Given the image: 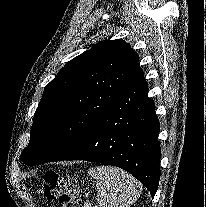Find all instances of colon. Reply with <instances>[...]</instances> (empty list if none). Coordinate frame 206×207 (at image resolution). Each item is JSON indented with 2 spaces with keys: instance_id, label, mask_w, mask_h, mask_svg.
<instances>
[{
  "instance_id": "5ec220e1",
  "label": "colon",
  "mask_w": 206,
  "mask_h": 207,
  "mask_svg": "<svg viewBox=\"0 0 206 207\" xmlns=\"http://www.w3.org/2000/svg\"><path fill=\"white\" fill-rule=\"evenodd\" d=\"M42 193L49 200H58L61 207H83L84 192L79 189L76 179L56 171L45 174Z\"/></svg>"
}]
</instances>
